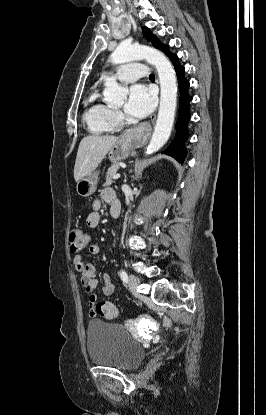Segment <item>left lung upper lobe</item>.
I'll return each instance as SVG.
<instances>
[{
    "instance_id": "obj_1",
    "label": "left lung upper lobe",
    "mask_w": 266,
    "mask_h": 415,
    "mask_svg": "<svg viewBox=\"0 0 266 415\" xmlns=\"http://www.w3.org/2000/svg\"><path fill=\"white\" fill-rule=\"evenodd\" d=\"M142 31H143V35L145 36V38L149 42H152L154 47L164 51L167 56H170V55L173 54V53L167 51L168 47L161 44L160 41L157 39V37L155 35H153L152 32L147 27H142Z\"/></svg>"
}]
</instances>
